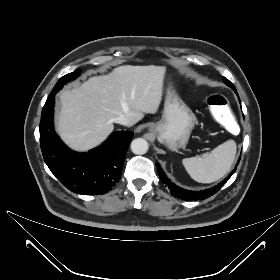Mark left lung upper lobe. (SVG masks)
<instances>
[{
    "label": "left lung upper lobe",
    "mask_w": 280,
    "mask_h": 280,
    "mask_svg": "<svg viewBox=\"0 0 280 280\" xmlns=\"http://www.w3.org/2000/svg\"><path fill=\"white\" fill-rule=\"evenodd\" d=\"M223 81H224V83H225L226 85H228L229 87L233 88L234 91L236 92V89H235L234 85H233L228 79H226L225 77H223ZM236 93H237V92H236Z\"/></svg>",
    "instance_id": "obj_1"
}]
</instances>
